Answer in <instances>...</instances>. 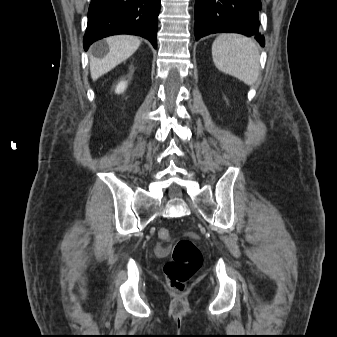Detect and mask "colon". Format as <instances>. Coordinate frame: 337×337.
<instances>
[{
  "instance_id": "1",
  "label": "colon",
  "mask_w": 337,
  "mask_h": 337,
  "mask_svg": "<svg viewBox=\"0 0 337 337\" xmlns=\"http://www.w3.org/2000/svg\"><path fill=\"white\" fill-rule=\"evenodd\" d=\"M171 233L167 229L158 231L156 250L165 253L169 249ZM171 260L164 266L170 286L182 290L203 263V256L196 244L189 238L179 240L172 248Z\"/></svg>"
}]
</instances>
